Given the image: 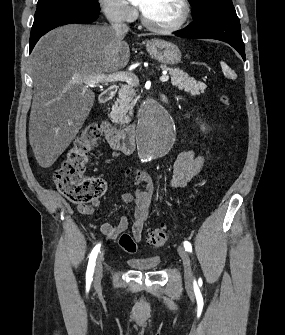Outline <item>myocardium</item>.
<instances>
[{"label": "myocardium", "instance_id": "f54148a6", "mask_svg": "<svg viewBox=\"0 0 285 335\" xmlns=\"http://www.w3.org/2000/svg\"><path fill=\"white\" fill-rule=\"evenodd\" d=\"M177 3L183 9V16L182 18L174 25L168 27H156L152 25L144 16L142 9L138 6L140 11V21L142 26L149 32L154 34H170L181 30L184 25L188 22L190 15H191V8L188 1H177Z\"/></svg>", "mask_w": 285, "mask_h": 335}]
</instances>
